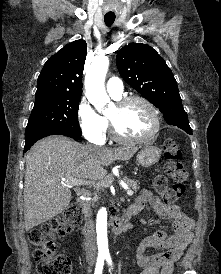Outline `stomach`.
<instances>
[{
	"label": "stomach",
	"instance_id": "obj_1",
	"mask_svg": "<svg viewBox=\"0 0 221 274\" xmlns=\"http://www.w3.org/2000/svg\"><path fill=\"white\" fill-rule=\"evenodd\" d=\"M161 156V150L157 146L147 145L137 155L138 163L143 167H149L157 163Z\"/></svg>",
	"mask_w": 221,
	"mask_h": 274
}]
</instances>
